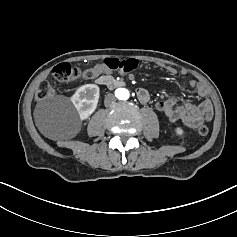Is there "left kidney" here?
Masks as SVG:
<instances>
[{"label":"left kidney","mask_w":237,"mask_h":237,"mask_svg":"<svg viewBox=\"0 0 237 237\" xmlns=\"http://www.w3.org/2000/svg\"><path fill=\"white\" fill-rule=\"evenodd\" d=\"M175 131L178 135H183V133H184L183 130L180 127L176 128Z\"/></svg>","instance_id":"1"}]
</instances>
